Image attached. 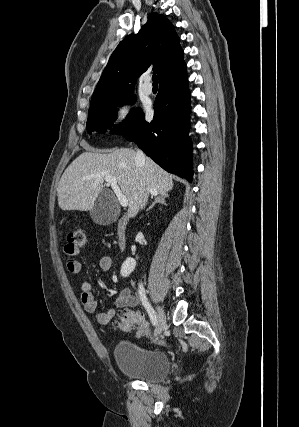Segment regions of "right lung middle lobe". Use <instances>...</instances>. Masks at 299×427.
<instances>
[{"label": "right lung middle lobe", "mask_w": 299, "mask_h": 427, "mask_svg": "<svg viewBox=\"0 0 299 427\" xmlns=\"http://www.w3.org/2000/svg\"><path fill=\"white\" fill-rule=\"evenodd\" d=\"M132 92L133 91L92 101L87 120L88 132H106L110 129L113 125V121L116 119L118 107L135 101V95H133ZM142 116L143 113L139 109H133L126 117V120L118 126H115L113 131L117 134H124L132 130L140 122Z\"/></svg>", "instance_id": "dd1d6c3e"}]
</instances>
